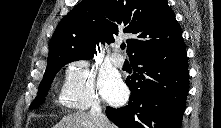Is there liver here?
I'll return each instance as SVG.
<instances>
[{
    "label": "liver",
    "mask_w": 221,
    "mask_h": 128,
    "mask_svg": "<svg viewBox=\"0 0 221 128\" xmlns=\"http://www.w3.org/2000/svg\"><path fill=\"white\" fill-rule=\"evenodd\" d=\"M110 126L115 128L112 124ZM53 128H97V125L90 113L76 112L64 116Z\"/></svg>",
    "instance_id": "6515ba94"
}]
</instances>
